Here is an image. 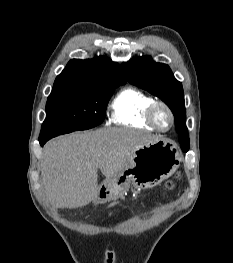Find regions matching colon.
<instances>
[{
    "mask_svg": "<svg viewBox=\"0 0 233 263\" xmlns=\"http://www.w3.org/2000/svg\"><path fill=\"white\" fill-rule=\"evenodd\" d=\"M166 187L168 189H171L173 187V182L172 181L167 182Z\"/></svg>",
    "mask_w": 233,
    "mask_h": 263,
    "instance_id": "1",
    "label": "colon"
}]
</instances>
